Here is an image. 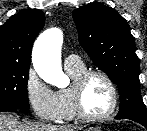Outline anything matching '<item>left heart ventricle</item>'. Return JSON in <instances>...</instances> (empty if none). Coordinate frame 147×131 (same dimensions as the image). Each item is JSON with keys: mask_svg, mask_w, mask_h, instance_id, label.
Returning a JSON list of instances; mask_svg holds the SVG:
<instances>
[{"mask_svg": "<svg viewBox=\"0 0 147 131\" xmlns=\"http://www.w3.org/2000/svg\"><path fill=\"white\" fill-rule=\"evenodd\" d=\"M82 101L88 114L105 113L111 105V92L105 80L98 76L88 79L83 88Z\"/></svg>", "mask_w": 147, "mask_h": 131, "instance_id": "left-heart-ventricle-1", "label": "left heart ventricle"}]
</instances>
